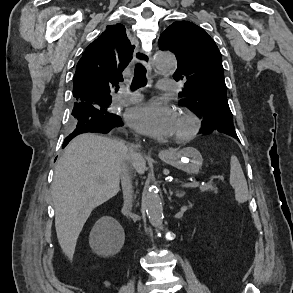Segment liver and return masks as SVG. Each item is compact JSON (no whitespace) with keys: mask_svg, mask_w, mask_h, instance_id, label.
<instances>
[{"mask_svg":"<svg viewBox=\"0 0 293 293\" xmlns=\"http://www.w3.org/2000/svg\"><path fill=\"white\" fill-rule=\"evenodd\" d=\"M129 154L122 141L95 134L78 135L66 147L55 168L51 196L58 242L68 258H73L91 212L119 192L120 169ZM133 167L144 173L141 155Z\"/></svg>","mask_w":293,"mask_h":293,"instance_id":"1","label":"liver"}]
</instances>
